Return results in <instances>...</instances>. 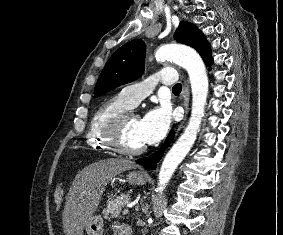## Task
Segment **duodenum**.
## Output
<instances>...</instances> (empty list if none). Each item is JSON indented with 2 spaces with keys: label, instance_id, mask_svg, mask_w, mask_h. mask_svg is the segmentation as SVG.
Here are the masks:
<instances>
[{
  "label": "duodenum",
  "instance_id": "410a0bca",
  "mask_svg": "<svg viewBox=\"0 0 283 235\" xmlns=\"http://www.w3.org/2000/svg\"><path fill=\"white\" fill-rule=\"evenodd\" d=\"M117 230L119 235H132V231L129 226H118Z\"/></svg>",
  "mask_w": 283,
  "mask_h": 235
}]
</instances>
